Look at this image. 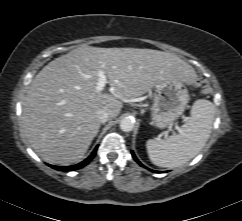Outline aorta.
<instances>
[{"label": "aorta", "instance_id": "1", "mask_svg": "<svg viewBox=\"0 0 242 221\" xmlns=\"http://www.w3.org/2000/svg\"><path fill=\"white\" fill-rule=\"evenodd\" d=\"M134 120L131 118H123L120 121V129L124 132H130L134 129Z\"/></svg>", "mask_w": 242, "mask_h": 221}]
</instances>
